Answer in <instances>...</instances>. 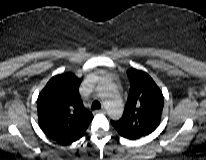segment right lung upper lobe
<instances>
[{
	"instance_id": "obj_1",
	"label": "right lung upper lobe",
	"mask_w": 206,
	"mask_h": 160,
	"mask_svg": "<svg viewBox=\"0 0 206 160\" xmlns=\"http://www.w3.org/2000/svg\"><path fill=\"white\" fill-rule=\"evenodd\" d=\"M72 73L52 77L37 99L38 122L43 132L61 144L80 139L93 119L84 108L79 85Z\"/></svg>"
}]
</instances>
